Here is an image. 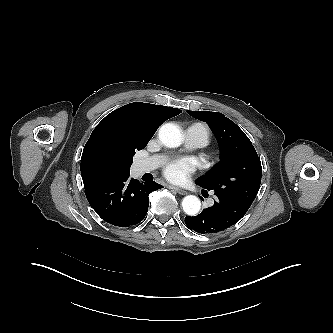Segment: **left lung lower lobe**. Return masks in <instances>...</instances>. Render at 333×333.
I'll use <instances>...</instances> for the list:
<instances>
[{
	"mask_svg": "<svg viewBox=\"0 0 333 333\" xmlns=\"http://www.w3.org/2000/svg\"><path fill=\"white\" fill-rule=\"evenodd\" d=\"M206 191V190H202ZM214 205L204 209L194 217H185L189 229L201 234H214L223 231L238 222L250 206L219 194Z\"/></svg>",
	"mask_w": 333,
	"mask_h": 333,
	"instance_id": "obj_1",
	"label": "left lung lower lobe"
}]
</instances>
